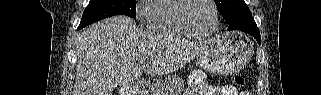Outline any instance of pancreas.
<instances>
[{"mask_svg": "<svg viewBox=\"0 0 321 95\" xmlns=\"http://www.w3.org/2000/svg\"><path fill=\"white\" fill-rule=\"evenodd\" d=\"M184 87V82L176 75H170L165 80L158 81L148 86V95H175Z\"/></svg>", "mask_w": 321, "mask_h": 95, "instance_id": "obj_1", "label": "pancreas"}]
</instances>
